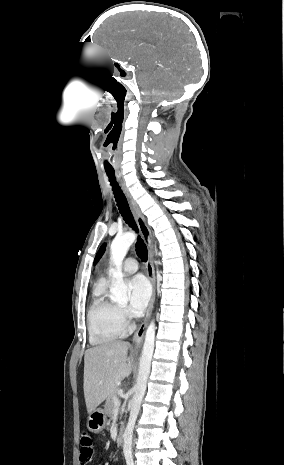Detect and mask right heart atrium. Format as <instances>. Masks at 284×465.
I'll return each mask as SVG.
<instances>
[{
	"mask_svg": "<svg viewBox=\"0 0 284 465\" xmlns=\"http://www.w3.org/2000/svg\"><path fill=\"white\" fill-rule=\"evenodd\" d=\"M118 311H119L120 316H121L125 321H128V320L130 319L129 314H128V312H127L125 309L118 307Z\"/></svg>",
	"mask_w": 284,
	"mask_h": 465,
	"instance_id": "d8ad5b80",
	"label": "right heart atrium"
}]
</instances>
